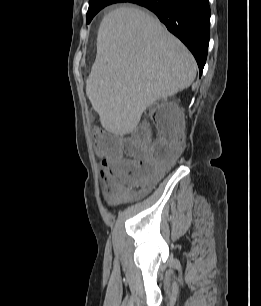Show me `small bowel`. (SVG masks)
I'll return each instance as SVG.
<instances>
[{
	"label": "small bowel",
	"mask_w": 261,
	"mask_h": 306,
	"mask_svg": "<svg viewBox=\"0 0 261 306\" xmlns=\"http://www.w3.org/2000/svg\"><path fill=\"white\" fill-rule=\"evenodd\" d=\"M126 157H121V159H125ZM113 162L110 161L109 158L104 159L101 162V166L104 170H106L107 172H109L111 166H112Z\"/></svg>",
	"instance_id": "obj_1"
}]
</instances>
